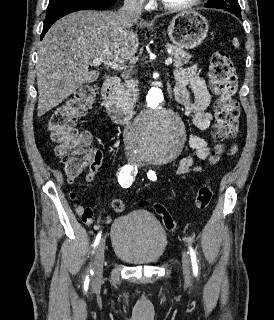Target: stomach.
Returning a JSON list of instances; mask_svg holds the SVG:
<instances>
[{
    "label": "stomach",
    "instance_id": "0dacf381",
    "mask_svg": "<svg viewBox=\"0 0 274 320\" xmlns=\"http://www.w3.org/2000/svg\"><path fill=\"white\" fill-rule=\"evenodd\" d=\"M209 24L198 12H181L172 18L168 26V36L176 48L193 50L205 40Z\"/></svg>",
    "mask_w": 274,
    "mask_h": 320
}]
</instances>
